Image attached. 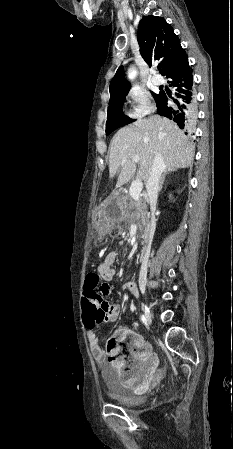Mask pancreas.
I'll return each instance as SVG.
<instances>
[{
    "label": "pancreas",
    "instance_id": "1",
    "mask_svg": "<svg viewBox=\"0 0 233 449\" xmlns=\"http://www.w3.org/2000/svg\"><path fill=\"white\" fill-rule=\"evenodd\" d=\"M122 213L124 218L136 221L140 226L148 224L149 213L144 197L134 200L130 194L122 198Z\"/></svg>",
    "mask_w": 233,
    "mask_h": 449
}]
</instances>
